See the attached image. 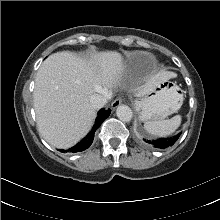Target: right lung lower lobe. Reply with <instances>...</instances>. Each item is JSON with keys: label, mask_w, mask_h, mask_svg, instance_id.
Returning <instances> with one entry per match:
<instances>
[{"label": "right lung lower lobe", "mask_w": 220, "mask_h": 220, "mask_svg": "<svg viewBox=\"0 0 220 220\" xmlns=\"http://www.w3.org/2000/svg\"><path fill=\"white\" fill-rule=\"evenodd\" d=\"M110 112H111L110 109L108 110L101 109L96 118L95 125L92 128L91 132L83 140H81L77 145H75L74 147L70 148L67 151L75 153V152L84 151L85 149L89 148L93 142L95 131L99 128L102 122L110 115ZM60 151L65 152L66 150H60Z\"/></svg>", "instance_id": "98d812e1"}]
</instances>
